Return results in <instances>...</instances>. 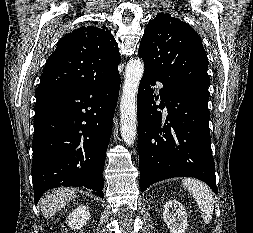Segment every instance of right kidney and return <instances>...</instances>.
I'll use <instances>...</instances> for the list:
<instances>
[{
  "instance_id": "ca27d5eb",
  "label": "right kidney",
  "mask_w": 253,
  "mask_h": 233,
  "mask_svg": "<svg viewBox=\"0 0 253 233\" xmlns=\"http://www.w3.org/2000/svg\"><path fill=\"white\" fill-rule=\"evenodd\" d=\"M90 218V213L88 207L81 205L78 208L74 209L66 219L68 226L74 230L81 229L84 225L87 224V221Z\"/></svg>"
}]
</instances>
